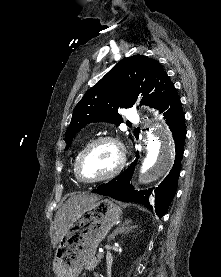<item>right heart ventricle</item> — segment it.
I'll return each instance as SVG.
<instances>
[{
    "mask_svg": "<svg viewBox=\"0 0 221 277\" xmlns=\"http://www.w3.org/2000/svg\"><path fill=\"white\" fill-rule=\"evenodd\" d=\"M79 153H80V152L77 153V155H76V157H75V160H76V158H77V156H78Z\"/></svg>",
    "mask_w": 221,
    "mask_h": 277,
    "instance_id": "1",
    "label": "right heart ventricle"
}]
</instances>
